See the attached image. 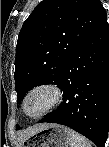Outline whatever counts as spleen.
I'll use <instances>...</instances> for the list:
<instances>
[{"label":"spleen","instance_id":"obj_1","mask_svg":"<svg viewBox=\"0 0 109 147\" xmlns=\"http://www.w3.org/2000/svg\"><path fill=\"white\" fill-rule=\"evenodd\" d=\"M70 147H91L90 143L81 134L71 130Z\"/></svg>","mask_w":109,"mask_h":147}]
</instances>
